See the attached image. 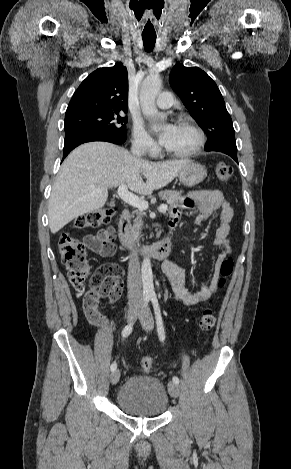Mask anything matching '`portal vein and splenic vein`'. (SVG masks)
<instances>
[{"label":"portal vein and splenic vein","instance_id":"18ae733b","mask_svg":"<svg viewBox=\"0 0 291 469\" xmlns=\"http://www.w3.org/2000/svg\"><path fill=\"white\" fill-rule=\"evenodd\" d=\"M117 194L124 202H126L127 204L133 207L138 208L141 211L146 210L148 208V202H146L143 199H140L135 194L129 192L128 187L124 184L119 186L117 190ZM167 207L168 206L166 204H162L160 205L158 210L161 212H165L167 210Z\"/></svg>","mask_w":291,"mask_h":469}]
</instances>
